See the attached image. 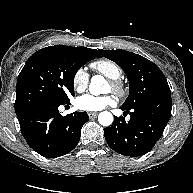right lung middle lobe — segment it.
<instances>
[{
    "label": "right lung middle lobe",
    "mask_w": 193,
    "mask_h": 193,
    "mask_svg": "<svg viewBox=\"0 0 193 193\" xmlns=\"http://www.w3.org/2000/svg\"><path fill=\"white\" fill-rule=\"evenodd\" d=\"M93 57L68 51L39 50L25 63L16 86L15 111L19 113L44 101L69 102L74 77Z\"/></svg>",
    "instance_id": "1"
}]
</instances>
